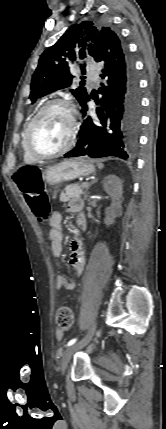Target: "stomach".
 <instances>
[{
  "mask_svg": "<svg viewBox=\"0 0 166 429\" xmlns=\"http://www.w3.org/2000/svg\"><path fill=\"white\" fill-rule=\"evenodd\" d=\"M95 171L93 164L84 159L65 160L43 170V181L50 186L71 181L81 176H88Z\"/></svg>",
  "mask_w": 166,
  "mask_h": 429,
  "instance_id": "stomach-1",
  "label": "stomach"
}]
</instances>
